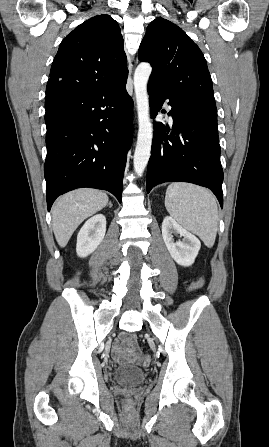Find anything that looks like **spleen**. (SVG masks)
I'll use <instances>...</instances> for the list:
<instances>
[{
	"label": "spleen",
	"instance_id": "obj_1",
	"mask_svg": "<svg viewBox=\"0 0 269 447\" xmlns=\"http://www.w3.org/2000/svg\"><path fill=\"white\" fill-rule=\"evenodd\" d=\"M165 208L178 224L199 235L207 247H213L217 233L218 206L210 190L175 182L167 188Z\"/></svg>",
	"mask_w": 269,
	"mask_h": 447
}]
</instances>
